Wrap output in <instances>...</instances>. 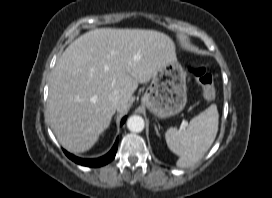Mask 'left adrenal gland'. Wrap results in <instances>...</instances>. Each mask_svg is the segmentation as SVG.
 Here are the masks:
<instances>
[{
	"instance_id": "1",
	"label": "left adrenal gland",
	"mask_w": 272,
	"mask_h": 198,
	"mask_svg": "<svg viewBox=\"0 0 272 198\" xmlns=\"http://www.w3.org/2000/svg\"><path fill=\"white\" fill-rule=\"evenodd\" d=\"M155 130H156L157 135H158V136H160V134H159V130H158V128H157V126H156V125H155Z\"/></svg>"
}]
</instances>
